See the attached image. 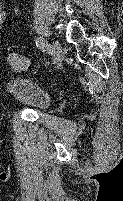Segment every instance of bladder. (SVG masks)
Returning <instances> with one entry per match:
<instances>
[{
	"label": "bladder",
	"instance_id": "obj_1",
	"mask_svg": "<svg viewBox=\"0 0 123 201\" xmlns=\"http://www.w3.org/2000/svg\"><path fill=\"white\" fill-rule=\"evenodd\" d=\"M7 89L13 100L36 112H45L51 105L50 97L37 83L29 78H12L7 81Z\"/></svg>",
	"mask_w": 123,
	"mask_h": 201
}]
</instances>
